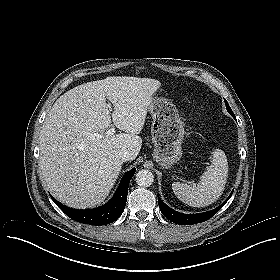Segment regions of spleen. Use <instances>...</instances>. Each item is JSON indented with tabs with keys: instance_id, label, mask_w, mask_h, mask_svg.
Instances as JSON below:
<instances>
[{
	"instance_id": "spleen-1",
	"label": "spleen",
	"mask_w": 280,
	"mask_h": 280,
	"mask_svg": "<svg viewBox=\"0 0 280 280\" xmlns=\"http://www.w3.org/2000/svg\"><path fill=\"white\" fill-rule=\"evenodd\" d=\"M211 159L212 163L202 174L199 183L172 184V189L179 200L193 207H205L219 199L227 183L228 163L225 153L220 149L212 152Z\"/></svg>"
}]
</instances>
